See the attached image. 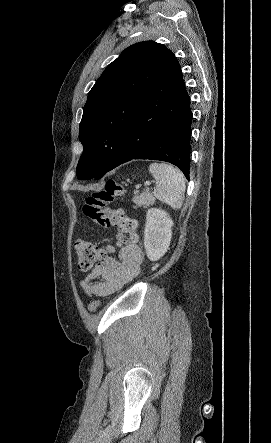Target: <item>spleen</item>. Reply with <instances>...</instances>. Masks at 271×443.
Returning a JSON list of instances; mask_svg holds the SVG:
<instances>
[{"label": "spleen", "instance_id": "spleen-1", "mask_svg": "<svg viewBox=\"0 0 271 443\" xmlns=\"http://www.w3.org/2000/svg\"><path fill=\"white\" fill-rule=\"evenodd\" d=\"M149 172L157 182L153 192L155 198L173 210L182 208L186 188L182 172L169 164H150Z\"/></svg>", "mask_w": 271, "mask_h": 443}]
</instances>
